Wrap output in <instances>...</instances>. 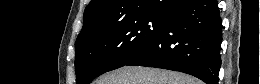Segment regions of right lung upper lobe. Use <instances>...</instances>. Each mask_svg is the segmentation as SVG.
<instances>
[{
	"label": "right lung upper lobe",
	"instance_id": "right-lung-upper-lobe-1",
	"mask_svg": "<svg viewBox=\"0 0 260 84\" xmlns=\"http://www.w3.org/2000/svg\"><path fill=\"white\" fill-rule=\"evenodd\" d=\"M191 0H91L84 12V23L76 44L92 39L108 24L142 14H166Z\"/></svg>",
	"mask_w": 260,
	"mask_h": 84
}]
</instances>
